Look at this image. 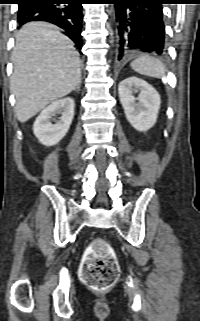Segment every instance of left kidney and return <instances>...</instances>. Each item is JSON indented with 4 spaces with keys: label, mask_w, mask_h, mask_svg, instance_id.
<instances>
[{
    "label": "left kidney",
    "mask_w": 200,
    "mask_h": 321,
    "mask_svg": "<svg viewBox=\"0 0 200 321\" xmlns=\"http://www.w3.org/2000/svg\"><path fill=\"white\" fill-rule=\"evenodd\" d=\"M118 92L130 124L140 132L152 128L160 109L159 93L146 81L137 77H129L121 81ZM136 93H139L137 98L134 96Z\"/></svg>",
    "instance_id": "1"
}]
</instances>
